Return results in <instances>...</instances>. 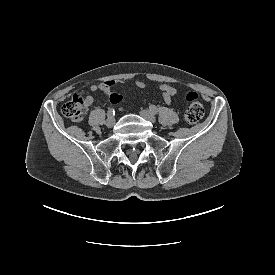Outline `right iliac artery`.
I'll use <instances>...</instances> for the list:
<instances>
[{"label": "right iliac artery", "instance_id": "obj_1", "mask_svg": "<svg viewBox=\"0 0 275 275\" xmlns=\"http://www.w3.org/2000/svg\"><path fill=\"white\" fill-rule=\"evenodd\" d=\"M113 115H115V110L114 109H110L108 111V116H113Z\"/></svg>", "mask_w": 275, "mask_h": 275}]
</instances>
